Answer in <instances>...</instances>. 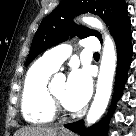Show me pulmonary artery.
<instances>
[{
	"label": "pulmonary artery",
	"instance_id": "1",
	"mask_svg": "<svg viewBox=\"0 0 136 136\" xmlns=\"http://www.w3.org/2000/svg\"><path fill=\"white\" fill-rule=\"evenodd\" d=\"M81 46L89 51L98 52L100 43L95 37H88L82 40ZM71 54V47L67 44L56 46L43 54L40 60L53 69L57 70L64 60Z\"/></svg>",
	"mask_w": 136,
	"mask_h": 136
}]
</instances>
